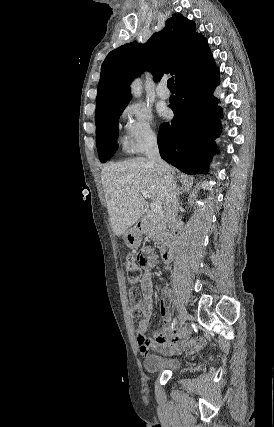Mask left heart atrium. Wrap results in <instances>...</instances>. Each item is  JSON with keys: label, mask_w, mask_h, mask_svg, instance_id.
<instances>
[{"label": "left heart atrium", "mask_w": 274, "mask_h": 427, "mask_svg": "<svg viewBox=\"0 0 274 427\" xmlns=\"http://www.w3.org/2000/svg\"><path fill=\"white\" fill-rule=\"evenodd\" d=\"M157 114L160 119H167L169 117V111L165 106L158 107Z\"/></svg>", "instance_id": "left-heart-atrium-1"}]
</instances>
